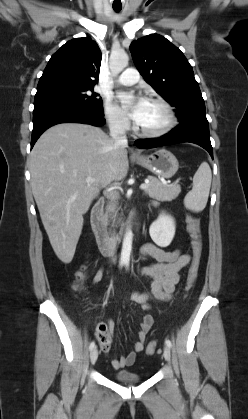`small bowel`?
Masks as SVG:
<instances>
[{"label": "small bowel", "instance_id": "1", "mask_svg": "<svg viewBox=\"0 0 248 419\" xmlns=\"http://www.w3.org/2000/svg\"><path fill=\"white\" fill-rule=\"evenodd\" d=\"M140 256L143 260H154L153 263L142 267L140 271L141 275L152 278L151 291L149 293L134 291L130 297L133 302L141 305L144 309H148L151 300H166L171 297L181 279L182 270L190 263L191 258L190 255L182 253L179 249L166 250L152 243L144 244L141 247ZM103 275L104 270L99 269L94 275L92 283L100 282ZM153 322L151 315L142 317L140 330L137 334L138 340L134 344L133 351L125 356L114 358L111 362L113 368L120 369L134 364L137 354L144 349V342ZM109 329L112 333V328ZM111 343L112 336L107 342L99 343L101 352L108 354Z\"/></svg>", "mask_w": 248, "mask_h": 419}]
</instances>
